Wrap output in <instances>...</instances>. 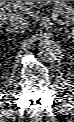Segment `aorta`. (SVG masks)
I'll list each match as a JSON object with an SVG mask.
<instances>
[{"instance_id": "obj_1", "label": "aorta", "mask_w": 74, "mask_h": 122, "mask_svg": "<svg viewBox=\"0 0 74 122\" xmlns=\"http://www.w3.org/2000/svg\"><path fill=\"white\" fill-rule=\"evenodd\" d=\"M40 58L45 62L56 61L61 56V49L55 41L43 39L38 45Z\"/></svg>"}]
</instances>
